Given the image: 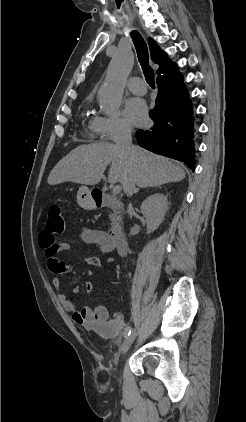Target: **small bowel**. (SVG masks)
<instances>
[{"label": "small bowel", "instance_id": "small-bowel-1", "mask_svg": "<svg viewBox=\"0 0 246 422\" xmlns=\"http://www.w3.org/2000/svg\"><path fill=\"white\" fill-rule=\"evenodd\" d=\"M79 238L87 244L99 246L106 253L114 250L110 236L103 230L83 227L79 231ZM39 245L44 250L48 269L53 274L52 285L58 291V299L72 316L73 320L79 326L95 331L102 336H118L126 324L123 314L115 313L113 318H111L107 308L102 305L86 306L78 309L70 298L61 291L60 275L68 271L69 268L59 259L58 254L62 251H69L71 249L70 245L64 242H57L55 233L50 232L47 228L39 234ZM83 262L94 267H100L102 265L101 259L97 256L87 257ZM86 289L89 292L93 291L95 284L93 282H87ZM74 291L77 292V288Z\"/></svg>", "mask_w": 246, "mask_h": 422}]
</instances>
